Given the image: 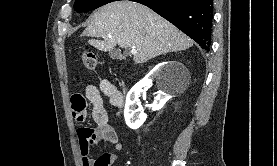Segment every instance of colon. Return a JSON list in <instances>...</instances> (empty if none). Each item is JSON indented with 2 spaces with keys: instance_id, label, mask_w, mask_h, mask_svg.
<instances>
[{
  "instance_id": "obj_1",
  "label": "colon",
  "mask_w": 277,
  "mask_h": 166,
  "mask_svg": "<svg viewBox=\"0 0 277 166\" xmlns=\"http://www.w3.org/2000/svg\"><path fill=\"white\" fill-rule=\"evenodd\" d=\"M82 61L86 69L93 70L96 67L97 59L93 52L91 51H84L82 54Z\"/></svg>"
}]
</instances>
